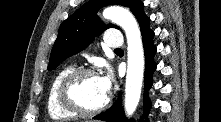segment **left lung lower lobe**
<instances>
[{"label": "left lung lower lobe", "instance_id": "left-lung-lower-lobe-1", "mask_svg": "<svg viewBox=\"0 0 221 122\" xmlns=\"http://www.w3.org/2000/svg\"><path fill=\"white\" fill-rule=\"evenodd\" d=\"M132 12L140 25L145 52V89L143 99L144 114L141 116L140 122H148L147 115L149 113L151 103L147 98V91L152 86V74L156 70V64L153 59L156 53V47L153 43L154 32L149 27L150 18L144 13V4L140 0L137 1L132 9ZM121 99L122 97L120 94L115 103L107 111L95 116L94 119L103 120L106 122H134L125 118L123 109L121 107ZM143 118L145 120H143Z\"/></svg>", "mask_w": 221, "mask_h": 122}]
</instances>
